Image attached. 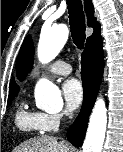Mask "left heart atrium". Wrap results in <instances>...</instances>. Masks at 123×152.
I'll return each instance as SVG.
<instances>
[{"mask_svg": "<svg viewBox=\"0 0 123 152\" xmlns=\"http://www.w3.org/2000/svg\"><path fill=\"white\" fill-rule=\"evenodd\" d=\"M62 93L69 110H75L80 106L83 100V88L77 79L66 80L62 85Z\"/></svg>", "mask_w": 123, "mask_h": 152, "instance_id": "obj_1", "label": "left heart atrium"}]
</instances>
